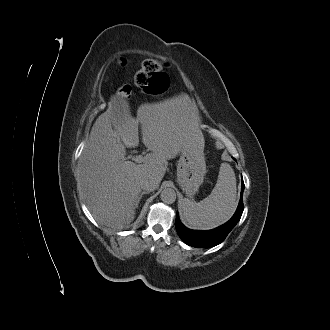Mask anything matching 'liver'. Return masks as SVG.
Segmentation results:
<instances>
[{"mask_svg":"<svg viewBox=\"0 0 330 330\" xmlns=\"http://www.w3.org/2000/svg\"><path fill=\"white\" fill-rule=\"evenodd\" d=\"M190 101L170 100L143 104L133 118L128 109L110 106L92 126L78 167V187L94 219L101 225L122 229L135 218L141 180L153 176L158 183L168 162L186 147L204 148ZM142 142L151 152L142 164L125 160L126 147Z\"/></svg>","mask_w":330,"mask_h":330,"instance_id":"6515ba94","label":"liver"}]
</instances>
